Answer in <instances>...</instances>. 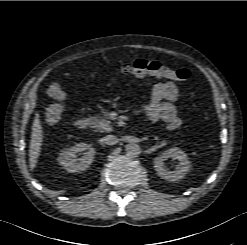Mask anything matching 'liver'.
<instances>
[{
  "mask_svg": "<svg viewBox=\"0 0 247 245\" xmlns=\"http://www.w3.org/2000/svg\"><path fill=\"white\" fill-rule=\"evenodd\" d=\"M42 142L43 130L41 127L39 115L37 114L32 124V133L29 146V164L31 170H33L36 167L41 152Z\"/></svg>",
  "mask_w": 247,
  "mask_h": 245,
  "instance_id": "6515ba94",
  "label": "liver"
}]
</instances>
